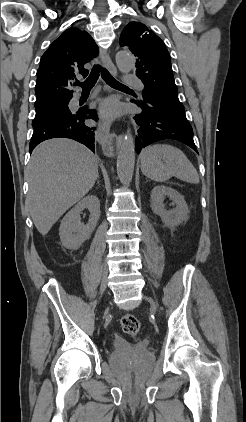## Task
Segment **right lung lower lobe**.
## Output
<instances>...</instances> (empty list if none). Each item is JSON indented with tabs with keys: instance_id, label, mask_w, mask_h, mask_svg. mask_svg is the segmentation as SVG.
I'll list each match as a JSON object with an SVG mask.
<instances>
[{
	"instance_id": "98d812e1",
	"label": "right lung lower lobe",
	"mask_w": 246,
	"mask_h": 422,
	"mask_svg": "<svg viewBox=\"0 0 246 422\" xmlns=\"http://www.w3.org/2000/svg\"><path fill=\"white\" fill-rule=\"evenodd\" d=\"M85 119L97 121L96 111L82 108L69 116L52 118L32 125L34 132L30 141V153L42 141L56 137L74 139L95 152V128L87 127L84 123Z\"/></svg>"
}]
</instances>
